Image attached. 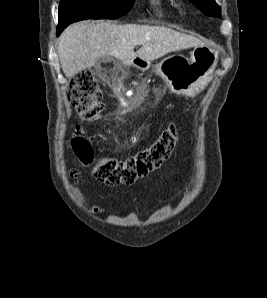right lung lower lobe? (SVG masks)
<instances>
[{
	"label": "right lung lower lobe",
	"mask_w": 267,
	"mask_h": 298,
	"mask_svg": "<svg viewBox=\"0 0 267 298\" xmlns=\"http://www.w3.org/2000/svg\"><path fill=\"white\" fill-rule=\"evenodd\" d=\"M63 29H64V27L58 25L57 35H59L62 32Z\"/></svg>",
	"instance_id": "obj_1"
}]
</instances>
